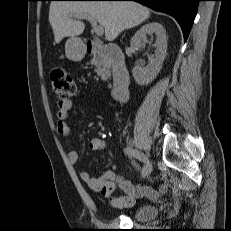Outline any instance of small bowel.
<instances>
[{"mask_svg":"<svg viewBox=\"0 0 231 231\" xmlns=\"http://www.w3.org/2000/svg\"><path fill=\"white\" fill-rule=\"evenodd\" d=\"M71 107L70 100L58 102L57 132L64 138H69L71 133L68 124ZM104 148L105 141L100 137H94L89 141V149L93 152L101 151ZM67 158L71 164L75 165L79 162V153L70 149L67 152ZM79 176L91 190L110 198L111 205L118 208L131 207L138 199L144 197L155 200L165 194L168 188L166 183L160 185L158 189L142 184L133 185L112 170H106L98 177H92L88 172L81 171ZM118 188L123 191V195H114Z\"/></svg>","mask_w":231,"mask_h":231,"instance_id":"1","label":"small bowel"}]
</instances>
